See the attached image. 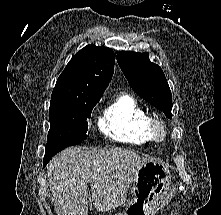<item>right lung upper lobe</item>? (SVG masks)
I'll return each instance as SVG.
<instances>
[{"instance_id": "1", "label": "right lung upper lobe", "mask_w": 221, "mask_h": 215, "mask_svg": "<svg viewBox=\"0 0 221 215\" xmlns=\"http://www.w3.org/2000/svg\"><path fill=\"white\" fill-rule=\"evenodd\" d=\"M114 61L112 49L85 46L59 76L50 105L100 100L113 75Z\"/></svg>"}]
</instances>
